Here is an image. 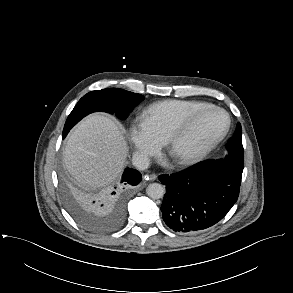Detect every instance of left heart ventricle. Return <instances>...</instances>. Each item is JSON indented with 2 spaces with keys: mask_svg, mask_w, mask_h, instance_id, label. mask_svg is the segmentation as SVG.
Returning <instances> with one entry per match:
<instances>
[{
  "mask_svg": "<svg viewBox=\"0 0 293 293\" xmlns=\"http://www.w3.org/2000/svg\"><path fill=\"white\" fill-rule=\"evenodd\" d=\"M225 122L224 114L214 110L205 112L170 154L176 159L203 146L224 128Z\"/></svg>",
  "mask_w": 293,
  "mask_h": 293,
  "instance_id": "b2bd125f",
  "label": "left heart ventricle"
}]
</instances>
